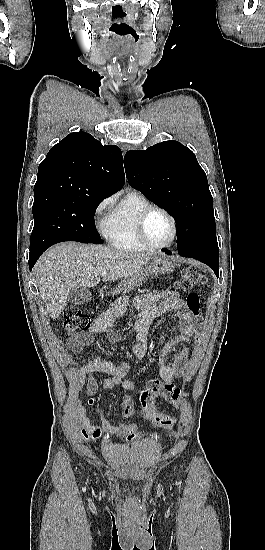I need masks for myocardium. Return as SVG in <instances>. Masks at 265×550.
Returning a JSON list of instances; mask_svg holds the SVG:
<instances>
[{"mask_svg": "<svg viewBox=\"0 0 265 550\" xmlns=\"http://www.w3.org/2000/svg\"><path fill=\"white\" fill-rule=\"evenodd\" d=\"M154 211H159V212H162L163 214H165L169 218V220L171 222V226H172V237H171V239L167 243L162 244V245H156V244L152 243L150 241V239L148 238V235H147V232H146L147 219L150 216V214ZM136 231H137V235H138L139 240L141 241V243L147 249L162 250V249L169 248L176 241L177 235H178L177 221H176L175 217L167 209H165L164 207H161V206H158V205H150V206L146 207L145 209H143L142 212L139 214L137 222H136Z\"/></svg>", "mask_w": 265, "mask_h": 550, "instance_id": "obj_1", "label": "myocardium"}]
</instances>
